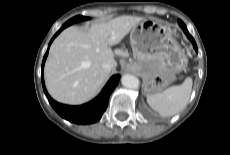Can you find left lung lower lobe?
I'll list each match as a JSON object with an SVG mask.
<instances>
[{
    "label": "left lung lower lobe",
    "instance_id": "0a47b994",
    "mask_svg": "<svg viewBox=\"0 0 230 155\" xmlns=\"http://www.w3.org/2000/svg\"><path fill=\"white\" fill-rule=\"evenodd\" d=\"M183 31L185 32V34L187 35V37L189 38V40L192 42L193 44V47L195 48L196 52L198 53V49H197V45L195 43V40L193 39V37L190 35V33L188 32L187 30V27L184 26L183 28Z\"/></svg>",
    "mask_w": 230,
    "mask_h": 155
}]
</instances>
